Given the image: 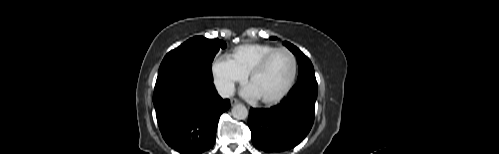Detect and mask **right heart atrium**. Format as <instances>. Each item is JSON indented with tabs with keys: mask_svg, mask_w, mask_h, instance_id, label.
Returning a JSON list of instances; mask_svg holds the SVG:
<instances>
[{
	"mask_svg": "<svg viewBox=\"0 0 499 154\" xmlns=\"http://www.w3.org/2000/svg\"><path fill=\"white\" fill-rule=\"evenodd\" d=\"M213 84L222 96L233 93L235 85L243 82L247 74L241 71L228 56H217L210 66Z\"/></svg>",
	"mask_w": 499,
	"mask_h": 154,
	"instance_id": "d8ad5b80",
	"label": "right heart atrium"
}]
</instances>
